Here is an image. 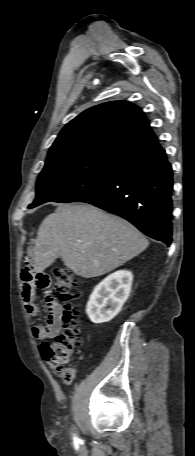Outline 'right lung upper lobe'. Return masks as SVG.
<instances>
[{
  "label": "right lung upper lobe",
  "instance_id": "1",
  "mask_svg": "<svg viewBox=\"0 0 195 456\" xmlns=\"http://www.w3.org/2000/svg\"><path fill=\"white\" fill-rule=\"evenodd\" d=\"M160 149L139 107L114 101L94 106L71 120L51 146L46 163L93 159L125 166Z\"/></svg>",
  "mask_w": 195,
  "mask_h": 456
}]
</instances>
